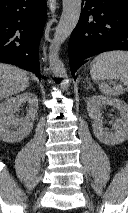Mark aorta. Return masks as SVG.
I'll list each match as a JSON object with an SVG mask.
<instances>
[{
    "instance_id": "aorta-1",
    "label": "aorta",
    "mask_w": 128,
    "mask_h": 213,
    "mask_svg": "<svg viewBox=\"0 0 128 213\" xmlns=\"http://www.w3.org/2000/svg\"><path fill=\"white\" fill-rule=\"evenodd\" d=\"M81 13V0H63V11L56 27L54 38L49 47L50 69L55 77L66 78L67 73L63 62L59 58L61 44L71 35L76 27ZM69 80L61 83L63 89H67Z\"/></svg>"
}]
</instances>
